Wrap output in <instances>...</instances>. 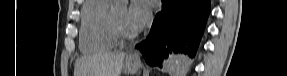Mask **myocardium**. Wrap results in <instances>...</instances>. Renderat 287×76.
I'll list each match as a JSON object with an SVG mask.
<instances>
[{"mask_svg": "<svg viewBox=\"0 0 287 76\" xmlns=\"http://www.w3.org/2000/svg\"><path fill=\"white\" fill-rule=\"evenodd\" d=\"M109 22L113 33L117 36L118 39L131 40L136 38L139 34L138 31H130L120 24L116 17L114 8H112L110 11Z\"/></svg>", "mask_w": 287, "mask_h": 76, "instance_id": "1", "label": "myocardium"}]
</instances>
